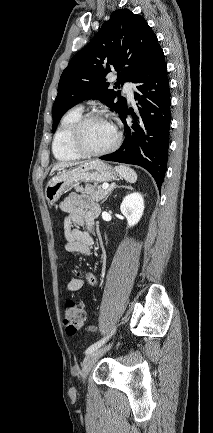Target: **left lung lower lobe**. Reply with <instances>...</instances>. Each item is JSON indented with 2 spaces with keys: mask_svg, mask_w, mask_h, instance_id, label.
<instances>
[{
  "mask_svg": "<svg viewBox=\"0 0 213 433\" xmlns=\"http://www.w3.org/2000/svg\"><path fill=\"white\" fill-rule=\"evenodd\" d=\"M167 65L161 47L157 48L144 69L133 79L137 91L136 112L127 109L121 115L125 127L122 146L100 159L139 165L154 177L158 188L167 170L169 130L171 123V99ZM131 114L133 121L126 123Z\"/></svg>",
  "mask_w": 213,
  "mask_h": 433,
  "instance_id": "obj_1",
  "label": "left lung lower lobe"
}]
</instances>
